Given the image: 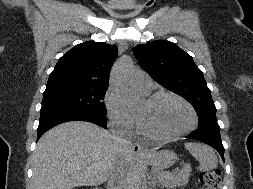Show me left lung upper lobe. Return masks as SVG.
Segmentation results:
<instances>
[{"label": "left lung upper lobe", "mask_w": 253, "mask_h": 189, "mask_svg": "<svg viewBox=\"0 0 253 189\" xmlns=\"http://www.w3.org/2000/svg\"><path fill=\"white\" fill-rule=\"evenodd\" d=\"M133 53L157 83L192 104L199 116L198 127H219L210 90L202 71L189 54L164 40L138 45Z\"/></svg>", "instance_id": "5c2ea615"}]
</instances>
